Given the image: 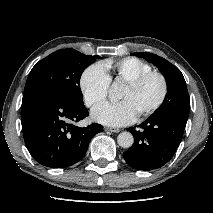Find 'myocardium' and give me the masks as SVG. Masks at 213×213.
Here are the masks:
<instances>
[{"label": "myocardium", "mask_w": 213, "mask_h": 213, "mask_svg": "<svg viewBox=\"0 0 213 213\" xmlns=\"http://www.w3.org/2000/svg\"><path fill=\"white\" fill-rule=\"evenodd\" d=\"M157 78L160 81L161 84V92L158 98L155 100L153 104L142 110L138 116L139 117H146L152 113H154L157 109L160 108V106L164 103L167 94H168V82L166 77L158 71H148L145 73H142L138 75L137 77L127 81L126 86L130 88H138L140 87L144 82H146L150 78Z\"/></svg>", "instance_id": "1"}]
</instances>
